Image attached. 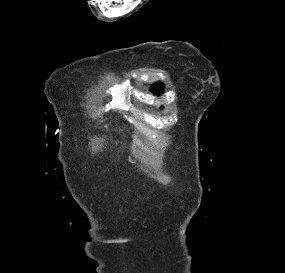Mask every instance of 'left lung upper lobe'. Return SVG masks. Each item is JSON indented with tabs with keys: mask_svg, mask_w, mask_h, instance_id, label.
<instances>
[{
	"mask_svg": "<svg viewBox=\"0 0 285 273\" xmlns=\"http://www.w3.org/2000/svg\"><path fill=\"white\" fill-rule=\"evenodd\" d=\"M162 88H163V84L155 83L152 85L151 91H153L154 93L160 94L162 92Z\"/></svg>",
	"mask_w": 285,
	"mask_h": 273,
	"instance_id": "1",
	"label": "left lung upper lobe"
}]
</instances>
